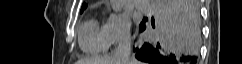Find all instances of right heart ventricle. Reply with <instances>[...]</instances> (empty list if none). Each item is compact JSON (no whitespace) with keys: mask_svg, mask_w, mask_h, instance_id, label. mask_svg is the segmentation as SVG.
I'll return each mask as SVG.
<instances>
[{"mask_svg":"<svg viewBox=\"0 0 242 64\" xmlns=\"http://www.w3.org/2000/svg\"><path fill=\"white\" fill-rule=\"evenodd\" d=\"M79 46L87 54L96 55L108 49V41L96 18L86 20L79 30Z\"/></svg>","mask_w":242,"mask_h":64,"instance_id":"right-heart-ventricle-1","label":"right heart ventricle"}]
</instances>
